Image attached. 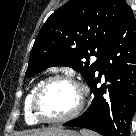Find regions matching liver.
Here are the masks:
<instances>
[{
	"mask_svg": "<svg viewBox=\"0 0 136 136\" xmlns=\"http://www.w3.org/2000/svg\"><path fill=\"white\" fill-rule=\"evenodd\" d=\"M60 128H47V129H37L31 131V133L28 136H50L54 131L58 130Z\"/></svg>",
	"mask_w": 136,
	"mask_h": 136,
	"instance_id": "liver-1",
	"label": "liver"
}]
</instances>
